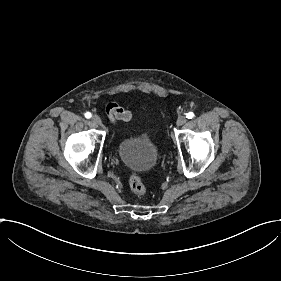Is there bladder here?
<instances>
[{"mask_svg":"<svg viewBox=\"0 0 281 281\" xmlns=\"http://www.w3.org/2000/svg\"><path fill=\"white\" fill-rule=\"evenodd\" d=\"M118 154L125 165L138 170L150 168L156 160L155 146L146 137L121 140Z\"/></svg>","mask_w":281,"mask_h":281,"instance_id":"bladder-1","label":"bladder"}]
</instances>
